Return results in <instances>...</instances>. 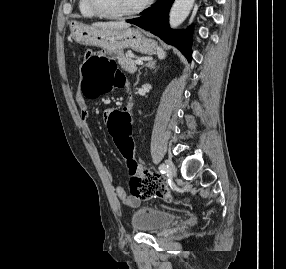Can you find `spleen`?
<instances>
[{
	"label": "spleen",
	"instance_id": "spleen-1",
	"mask_svg": "<svg viewBox=\"0 0 286 269\" xmlns=\"http://www.w3.org/2000/svg\"><path fill=\"white\" fill-rule=\"evenodd\" d=\"M157 54H158L159 59H164L166 57L165 52L160 47L157 48Z\"/></svg>",
	"mask_w": 286,
	"mask_h": 269
}]
</instances>
